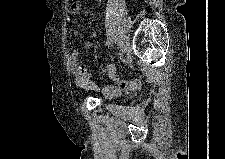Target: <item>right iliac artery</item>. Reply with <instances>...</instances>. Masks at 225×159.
Returning <instances> with one entry per match:
<instances>
[{
  "mask_svg": "<svg viewBox=\"0 0 225 159\" xmlns=\"http://www.w3.org/2000/svg\"><path fill=\"white\" fill-rule=\"evenodd\" d=\"M117 44L121 47V41H120V40L118 41V43H117Z\"/></svg>",
  "mask_w": 225,
  "mask_h": 159,
  "instance_id": "82829eb1",
  "label": "right iliac artery"
}]
</instances>
